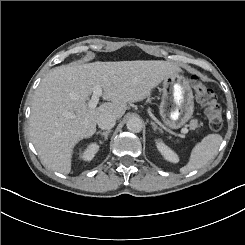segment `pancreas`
Masks as SVG:
<instances>
[{
    "instance_id": "pancreas-1",
    "label": "pancreas",
    "mask_w": 245,
    "mask_h": 245,
    "mask_svg": "<svg viewBox=\"0 0 245 245\" xmlns=\"http://www.w3.org/2000/svg\"><path fill=\"white\" fill-rule=\"evenodd\" d=\"M188 126L191 130H195L198 127V120H191Z\"/></svg>"
}]
</instances>
